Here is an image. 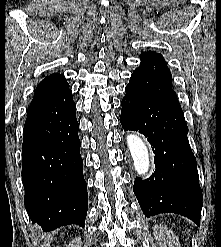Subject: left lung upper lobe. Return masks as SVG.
I'll return each instance as SVG.
<instances>
[{
  "label": "left lung upper lobe",
  "mask_w": 221,
  "mask_h": 247,
  "mask_svg": "<svg viewBox=\"0 0 221 247\" xmlns=\"http://www.w3.org/2000/svg\"><path fill=\"white\" fill-rule=\"evenodd\" d=\"M141 64L130 78L135 90L175 107H181L172 89V76L161 54L153 51L140 56Z\"/></svg>",
  "instance_id": "1"
}]
</instances>
